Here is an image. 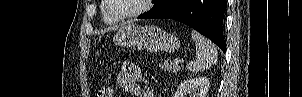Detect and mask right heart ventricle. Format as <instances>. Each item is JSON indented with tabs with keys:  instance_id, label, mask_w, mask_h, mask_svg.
<instances>
[{
	"instance_id": "obj_1",
	"label": "right heart ventricle",
	"mask_w": 302,
	"mask_h": 97,
	"mask_svg": "<svg viewBox=\"0 0 302 97\" xmlns=\"http://www.w3.org/2000/svg\"><path fill=\"white\" fill-rule=\"evenodd\" d=\"M102 18L104 23H106L107 25H114L117 23L116 20H114L107 12L106 9L103 8L102 9Z\"/></svg>"
}]
</instances>
